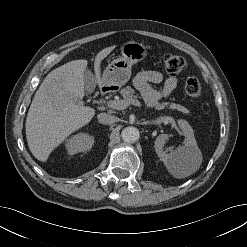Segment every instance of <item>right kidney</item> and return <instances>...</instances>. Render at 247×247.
<instances>
[{
  "mask_svg": "<svg viewBox=\"0 0 247 247\" xmlns=\"http://www.w3.org/2000/svg\"><path fill=\"white\" fill-rule=\"evenodd\" d=\"M94 144V137L87 133H78L69 138L65 147L70 155L76 154L78 152H84L92 148Z\"/></svg>",
  "mask_w": 247,
  "mask_h": 247,
  "instance_id": "right-kidney-1",
  "label": "right kidney"
}]
</instances>
